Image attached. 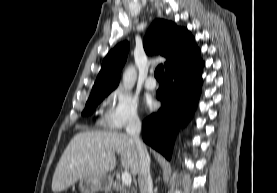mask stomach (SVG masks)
<instances>
[{"label": "stomach", "instance_id": "0dacf381", "mask_svg": "<svg viewBox=\"0 0 277 193\" xmlns=\"http://www.w3.org/2000/svg\"><path fill=\"white\" fill-rule=\"evenodd\" d=\"M112 179L108 175L89 176L80 179L79 189L81 193H97L99 191H109Z\"/></svg>", "mask_w": 277, "mask_h": 193}]
</instances>
